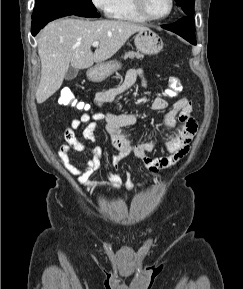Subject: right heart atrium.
I'll return each mask as SVG.
<instances>
[{
  "label": "right heart atrium",
  "instance_id": "obj_1",
  "mask_svg": "<svg viewBox=\"0 0 243 289\" xmlns=\"http://www.w3.org/2000/svg\"><path fill=\"white\" fill-rule=\"evenodd\" d=\"M91 1L96 8L105 13L109 12L113 3V0H91Z\"/></svg>",
  "mask_w": 243,
  "mask_h": 289
}]
</instances>
